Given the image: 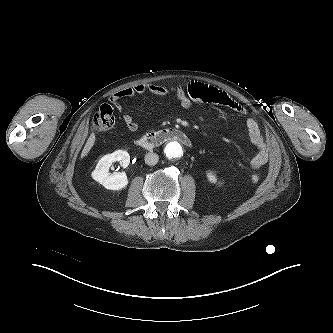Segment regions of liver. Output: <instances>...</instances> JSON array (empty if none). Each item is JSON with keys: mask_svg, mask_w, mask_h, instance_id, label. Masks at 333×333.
Here are the masks:
<instances>
[{"mask_svg": "<svg viewBox=\"0 0 333 333\" xmlns=\"http://www.w3.org/2000/svg\"><path fill=\"white\" fill-rule=\"evenodd\" d=\"M94 143H95V134L91 133L90 137L88 138V140L82 150L81 158L85 157L89 153V151L93 147Z\"/></svg>", "mask_w": 333, "mask_h": 333, "instance_id": "liver-1", "label": "liver"}]
</instances>
